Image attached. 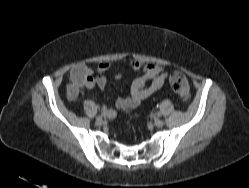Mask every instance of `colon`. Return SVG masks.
I'll use <instances>...</instances> for the list:
<instances>
[{
  "label": "colon",
  "mask_w": 249,
  "mask_h": 188,
  "mask_svg": "<svg viewBox=\"0 0 249 188\" xmlns=\"http://www.w3.org/2000/svg\"><path fill=\"white\" fill-rule=\"evenodd\" d=\"M76 77L80 78V73H76ZM169 81L173 91L177 93L184 101L188 100L190 87L185 75L180 72H173L170 75Z\"/></svg>",
  "instance_id": "1"
}]
</instances>
